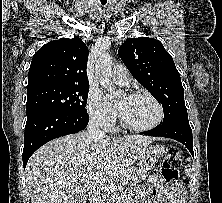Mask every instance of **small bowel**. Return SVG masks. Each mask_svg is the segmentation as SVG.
I'll use <instances>...</instances> for the list:
<instances>
[{
	"label": "small bowel",
	"mask_w": 222,
	"mask_h": 203,
	"mask_svg": "<svg viewBox=\"0 0 222 203\" xmlns=\"http://www.w3.org/2000/svg\"><path fill=\"white\" fill-rule=\"evenodd\" d=\"M147 193L158 198L162 203H183L184 189L179 184H167L159 176H152L146 187L138 191L143 198Z\"/></svg>",
	"instance_id": "obj_1"
}]
</instances>
